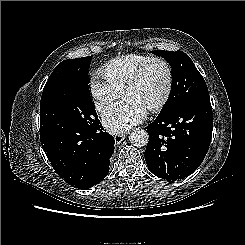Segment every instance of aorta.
Wrapping results in <instances>:
<instances>
[{"label":"aorta","mask_w":245,"mask_h":245,"mask_svg":"<svg viewBox=\"0 0 245 245\" xmlns=\"http://www.w3.org/2000/svg\"><path fill=\"white\" fill-rule=\"evenodd\" d=\"M129 140L134 146L143 147L147 145L149 135L144 129L136 128L131 132Z\"/></svg>","instance_id":"aorta-1"}]
</instances>
